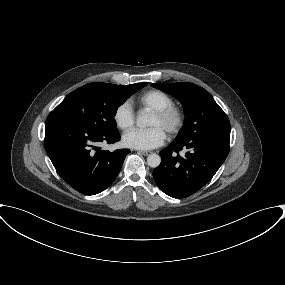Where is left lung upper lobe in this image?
<instances>
[{"mask_svg":"<svg viewBox=\"0 0 285 285\" xmlns=\"http://www.w3.org/2000/svg\"><path fill=\"white\" fill-rule=\"evenodd\" d=\"M152 86L172 95L183 105L184 125L175 141L198 137L230 139L229 119L205 89L192 83H153Z\"/></svg>","mask_w":285,"mask_h":285,"instance_id":"left-lung-upper-lobe-1","label":"left lung upper lobe"}]
</instances>
